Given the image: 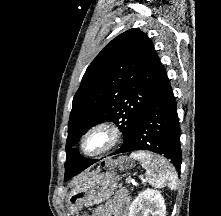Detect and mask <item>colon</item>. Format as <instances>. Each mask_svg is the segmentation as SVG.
Masks as SVG:
<instances>
[{"label":"colon","instance_id":"1","mask_svg":"<svg viewBox=\"0 0 221 216\" xmlns=\"http://www.w3.org/2000/svg\"><path fill=\"white\" fill-rule=\"evenodd\" d=\"M117 164L123 168H130L132 166V162L129 159H122L118 161ZM76 216H86V215L83 214V215H76Z\"/></svg>","mask_w":221,"mask_h":216}]
</instances>
